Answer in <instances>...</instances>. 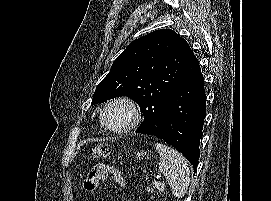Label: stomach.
Wrapping results in <instances>:
<instances>
[{"label": "stomach", "mask_w": 271, "mask_h": 201, "mask_svg": "<svg viewBox=\"0 0 271 201\" xmlns=\"http://www.w3.org/2000/svg\"><path fill=\"white\" fill-rule=\"evenodd\" d=\"M141 156H143V154H142V153L137 154V157H141Z\"/></svg>", "instance_id": "obj_1"}]
</instances>
